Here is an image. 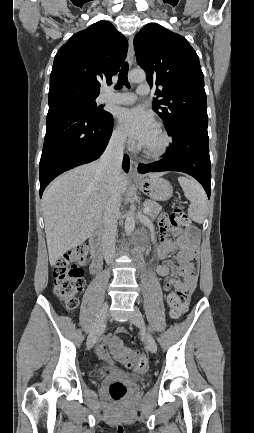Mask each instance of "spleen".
<instances>
[{
	"label": "spleen",
	"mask_w": 254,
	"mask_h": 433,
	"mask_svg": "<svg viewBox=\"0 0 254 433\" xmlns=\"http://www.w3.org/2000/svg\"><path fill=\"white\" fill-rule=\"evenodd\" d=\"M179 184L185 197L190 201L188 208L189 217L199 224L203 223L207 216V196L202 186L193 179L179 177Z\"/></svg>",
	"instance_id": "spleen-1"
}]
</instances>
